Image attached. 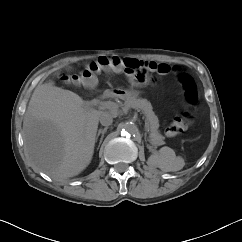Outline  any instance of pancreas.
<instances>
[{
	"instance_id": "obj_1",
	"label": "pancreas",
	"mask_w": 242,
	"mask_h": 242,
	"mask_svg": "<svg viewBox=\"0 0 242 242\" xmlns=\"http://www.w3.org/2000/svg\"><path fill=\"white\" fill-rule=\"evenodd\" d=\"M125 106L129 108L139 109L145 115V120L150 129L151 142L154 144L161 143L164 137L159 133V120L152 110V105L147 99L130 97L125 100Z\"/></svg>"
}]
</instances>
